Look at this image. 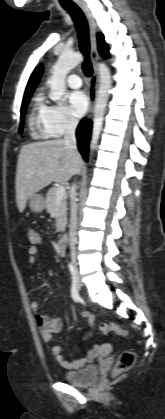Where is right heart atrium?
Masks as SVG:
<instances>
[{
  "label": "right heart atrium",
  "instance_id": "right-heart-atrium-1",
  "mask_svg": "<svg viewBox=\"0 0 165 419\" xmlns=\"http://www.w3.org/2000/svg\"><path fill=\"white\" fill-rule=\"evenodd\" d=\"M43 119L49 136L60 137L78 125V119L61 103H49L44 107Z\"/></svg>",
  "mask_w": 165,
  "mask_h": 419
}]
</instances>
